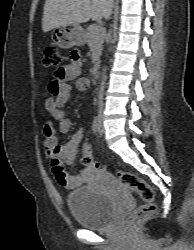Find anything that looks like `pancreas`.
<instances>
[{"instance_id":"obj_1","label":"pancreas","mask_w":194,"mask_h":250,"mask_svg":"<svg viewBox=\"0 0 194 250\" xmlns=\"http://www.w3.org/2000/svg\"><path fill=\"white\" fill-rule=\"evenodd\" d=\"M105 37V29L99 28L97 25H90L85 33V39L90 47V52L92 53L91 59L95 63L102 51V45Z\"/></svg>"}]
</instances>
